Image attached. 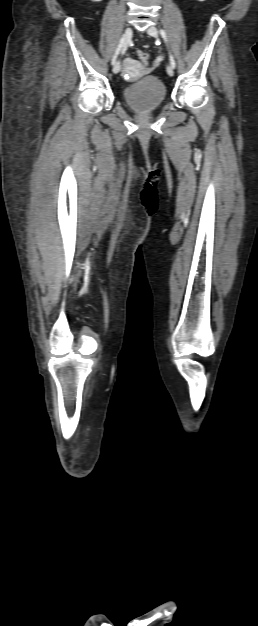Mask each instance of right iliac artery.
I'll return each instance as SVG.
<instances>
[{
    "instance_id": "82829eb1",
    "label": "right iliac artery",
    "mask_w": 258,
    "mask_h": 626,
    "mask_svg": "<svg viewBox=\"0 0 258 626\" xmlns=\"http://www.w3.org/2000/svg\"><path fill=\"white\" fill-rule=\"evenodd\" d=\"M123 45H124V38L122 37V38L120 39L119 44H118V47H117V49H116V51H115V53H114V55H113V57H112V60H111V64H112V65H115V63H116V61H117V57H118V55H119V53H120V51H121V49H122Z\"/></svg>"
}]
</instances>
